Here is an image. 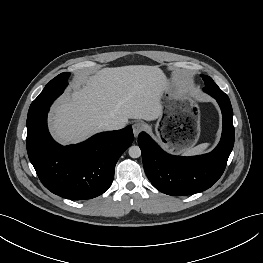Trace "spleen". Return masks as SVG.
Returning a JSON list of instances; mask_svg holds the SVG:
<instances>
[{"label":"spleen","mask_w":263,"mask_h":263,"mask_svg":"<svg viewBox=\"0 0 263 263\" xmlns=\"http://www.w3.org/2000/svg\"><path fill=\"white\" fill-rule=\"evenodd\" d=\"M208 143L199 144L193 148H190L183 152L182 155L184 156H192V155H198L205 152V150L208 148Z\"/></svg>","instance_id":"1"}]
</instances>
